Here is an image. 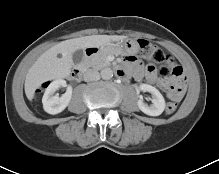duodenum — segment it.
Instances as JSON below:
<instances>
[{
	"instance_id": "410a0bca",
	"label": "duodenum",
	"mask_w": 219,
	"mask_h": 174,
	"mask_svg": "<svg viewBox=\"0 0 219 174\" xmlns=\"http://www.w3.org/2000/svg\"><path fill=\"white\" fill-rule=\"evenodd\" d=\"M99 51V48L98 47H89L85 50V54H84V59H83V63L82 65L78 66V67H75L74 69H72L70 75L72 78H75V79H78L80 78L84 71H85V67L89 61V59L96 55ZM119 71V70H118ZM119 74V72H118ZM120 75V74H119Z\"/></svg>"
}]
</instances>
